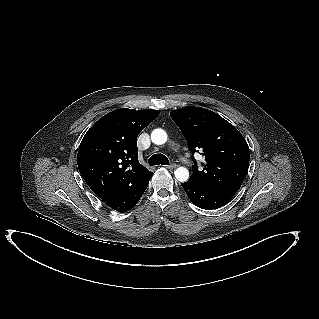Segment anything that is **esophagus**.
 <instances>
[{"label": "esophagus", "instance_id": "34e87169", "mask_svg": "<svg viewBox=\"0 0 319 319\" xmlns=\"http://www.w3.org/2000/svg\"><path fill=\"white\" fill-rule=\"evenodd\" d=\"M176 164H174V163H172V164H170V165H167V166H165L167 169H174V168H176Z\"/></svg>", "mask_w": 319, "mask_h": 319}]
</instances>
